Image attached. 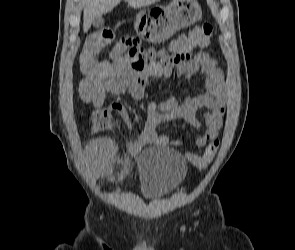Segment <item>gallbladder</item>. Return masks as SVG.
Returning a JSON list of instances; mask_svg holds the SVG:
<instances>
[{"instance_id":"1","label":"gallbladder","mask_w":295,"mask_h":250,"mask_svg":"<svg viewBox=\"0 0 295 250\" xmlns=\"http://www.w3.org/2000/svg\"><path fill=\"white\" fill-rule=\"evenodd\" d=\"M92 25L96 28L103 27L104 25V19L100 16L94 19Z\"/></svg>"}]
</instances>
